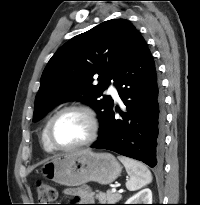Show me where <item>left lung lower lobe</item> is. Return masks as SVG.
Masks as SVG:
<instances>
[{
	"instance_id": "1",
	"label": "left lung lower lobe",
	"mask_w": 200,
	"mask_h": 205,
	"mask_svg": "<svg viewBox=\"0 0 200 205\" xmlns=\"http://www.w3.org/2000/svg\"><path fill=\"white\" fill-rule=\"evenodd\" d=\"M114 85L126 106L113 108L91 146L137 159L150 167L160 166L164 145V101L155 63L138 33L121 63ZM119 112L120 118H115Z\"/></svg>"
}]
</instances>
